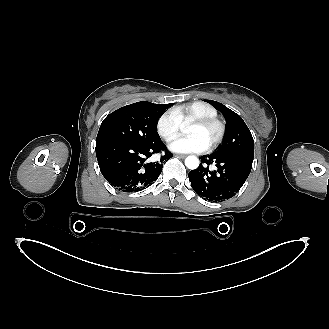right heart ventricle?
I'll list each match as a JSON object with an SVG mask.
<instances>
[{"mask_svg":"<svg viewBox=\"0 0 329 329\" xmlns=\"http://www.w3.org/2000/svg\"><path fill=\"white\" fill-rule=\"evenodd\" d=\"M180 123H187L196 118L217 117V110L203 101H195L178 106L173 110Z\"/></svg>","mask_w":329,"mask_h":329,"instance_id":"right-heart-ventricle-1","label":"right heart ventricle"}]
</instances>
